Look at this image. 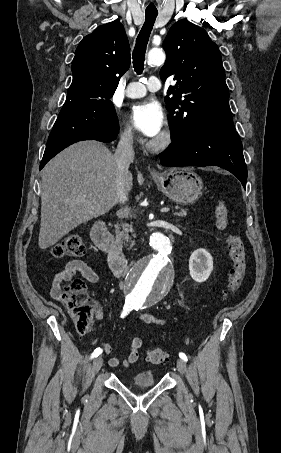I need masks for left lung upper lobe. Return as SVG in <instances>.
Returning <instances> with one entry per match:
<instances>
[{"label": "left lung upper lobe", "instance_id": "1", "mask_svg": "<svg viewBox=\"0 0 281 453\" xmlns=\"http://www.w3.org/2000/svg\"><path fill=\"white\" fill-rule=\"evenodd\" d=\"M166 62L160 78L177 80L165 98L172 140L208 127L232 123L229 90L221 53L207 32L180 20L172 25L164 42Z\"/></svg>", "mask_w": 281, "mask_h": 453}]
</instances>
